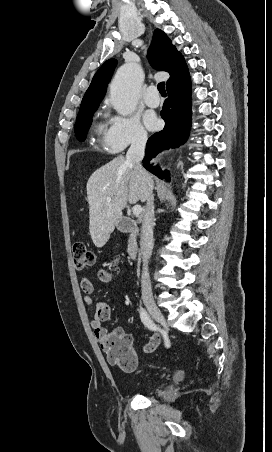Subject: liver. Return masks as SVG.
<instances>
[{
	"mask_svg": "<svg viewBox=\"0 0 272 452\" xmlns=\"http://www.w3.org/2000/svg\"><path fill=\"white\" fill-rule=\"evenodd\" d=\"M153 182V180H152ZM145 184L122 155L98 168L87 182L89 231L96 247H103L122 218L127 204L143 201ZM111 197V201H107Z\"/></svg>",
	"mask_w": 272,
	"mask_h": 452,
	"instance_id": "obj_1",
	"label": "liver"
}]
</instances>
